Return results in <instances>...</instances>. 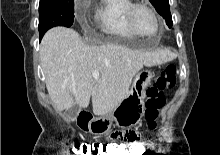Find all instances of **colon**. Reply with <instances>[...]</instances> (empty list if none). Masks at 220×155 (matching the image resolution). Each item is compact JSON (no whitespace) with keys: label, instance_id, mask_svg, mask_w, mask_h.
Wrapping results in <instances>:
<instances>
[{"label":"colon","instance_id":"obj_1","mask_svg":"<svg viewBox=\"0 0 220 155\" xmlns=\"http://www.w3.org/2000/svg\"><path fill=\"white\" fill-rule=\"evenodd\" d=\"M176 84V67L167 66L156 81L147 89L145 100V118L148 127L154 129L161 108L165 104L164 92ZM111 137V136H110ZM127 146L94 145V143H76L75 150L79 155H147L153 151V146H145L141 139L138 141H125Z\"/></svg>","mask_w":220,"mask_h":155}]
</instances>
